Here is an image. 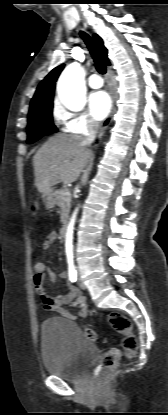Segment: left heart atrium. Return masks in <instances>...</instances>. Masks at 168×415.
<instances>
[{"label":"left heart atrium","instance_id":"1","mask_svg":"<svg viewBox=\"0 0 168 415\" xmlns=\"http://www.w3.org/2000/svg\"><path fill=\"white\" fill-rule=\"evenodd\" d=\"M111 100L104 91H97L89 97V110L97 121L103 120L110 112Z\"/></svg>","mask_w":168,"mask_h":415}]
</instances>
